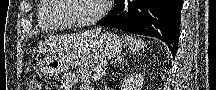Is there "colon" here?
I'll use <instances>...</instances> for the list:
<instances>
[{"instance_id": "colon-1", "label": "colon", "mask_w": 216, "mask_h": 90, "mask_svg": "<svg viewBox=\"0 0 216 90\" xmlns=\"http://www.w3.org/2000/svg\"><path fill=\"white\" fill-rule=\"evenodd\" d=\"M27 90H41L40 82L37 79H31L28 82Z\"/></svg>"}]
</instances>
